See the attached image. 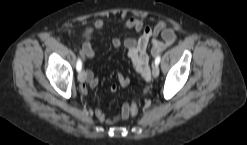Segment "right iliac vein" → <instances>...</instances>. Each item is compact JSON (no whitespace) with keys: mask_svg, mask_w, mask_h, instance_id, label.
<instances>
[{"mask_svg":"<svg viewBox=\"0 0 247 145\" xmlns=\"http://www.w3.org/2000/svg\"><path fill=\"white\" fill-rule=\"evenodd\" d=\"M85 79H86L85 70H82V71H80L79 74H78V80H79L80 82H84Z\"/></svg>","mask_w":247,"mask_h":145,"instance_id":"63e3f726","label":"right iliac vein"}]
</instances>
